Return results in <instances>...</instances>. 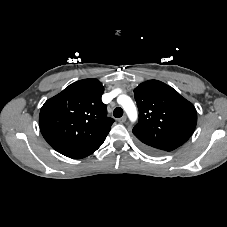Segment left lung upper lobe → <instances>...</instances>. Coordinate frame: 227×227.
<instances>
[{"label": "left lung upper lobe", "mask_w": 227, "mask_h": 227, "mask_svg": "<svg viewBox=\"0 0 227 227\" xmlns=\"http://www.w3.org/2000/svg\"><path fill=\"white\" fill-rule=\"evenodd\" d=\"M139 121L133 128L140 144L158 152H170L193 134L197 112L192 103L169 85L149 80L134 89Z\"/></svg>", "instance_id": "obj_1"}]
</instances>
